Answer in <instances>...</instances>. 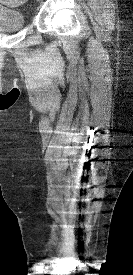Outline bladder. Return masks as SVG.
I'll use <instances>...</instances> for the list:
<instances>
[{"label": "bladder", "instance_id": "1", "mask_svg": "<svg viewBox=\"0 0 133 275\" xmlns=\"http://www.w3.org/2000/svg\"><path fill=\"white\" fill-rule=\"evenodd\" d=\"M27 24L25 14L20 9L0 4V32H12L23 29Z\"/></svg>", "mask_w": 133, "mask_h": 275}]
</instances>
